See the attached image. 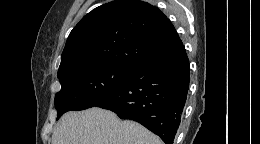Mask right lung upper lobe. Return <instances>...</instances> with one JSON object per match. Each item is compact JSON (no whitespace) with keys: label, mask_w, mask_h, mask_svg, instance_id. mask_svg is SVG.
Returning a JSON list of instances; mask_svg holds the SVG:
<instances>
[{"label":"right lung upper lobe","mask_w":260,"mask_h":144,"mask_svg":"<svg viewBox=\"0 0 260 144\" xmlns=\"http://www.w3.org/2000/svg\"><path fill=\"white\" fill-rule=\"evenodd\" d=\"M181 45L157 7L138 0L112 1L92 10L71 31L58 76L104 64L134 68Z\"/></svg>","instance_id":"cb5924a9"}]
</instances>
